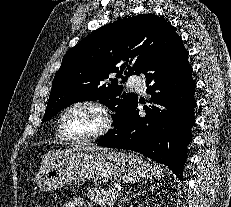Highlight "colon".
I'll return each instance as SVG.
<instances>
[{
    "instance_id": "obj_1",
    "label": "colon",
    "mask_w": 231,
    "mask_h": 207,
    "mask_svg": "<svg viewBox=\"0 0 231 207\" xmlns=\"http://www.w3.org/2000/svg\"><path fill=\"white\" fill-rule=\"evenodd\" d=\"M39 207H48V206H46V205H41V206H39Z\"/></svg>"
}]
</instances>
